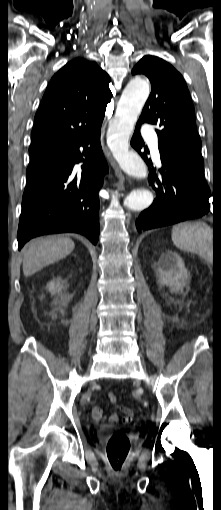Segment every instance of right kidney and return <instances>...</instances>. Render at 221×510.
Masks as SVG:
<instances>
[{"label":"right kidney","mask_w":221,"mask_h":510,"mask_svg":"<svg viewBox=\"0 0 221 510\" xmlns=\"http://www.w3.org/2000/svg\"><path fill=\"white\" fill-rule=\"evenodd\" d=\"M47 289L51 292V293H56V292H61L62 290V285L60 283V280H57V281H50L48 284H47Z\"/></svg>","instance_id":"obj_1"}]
</instances>
